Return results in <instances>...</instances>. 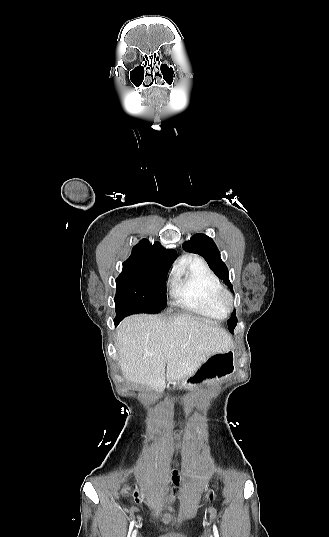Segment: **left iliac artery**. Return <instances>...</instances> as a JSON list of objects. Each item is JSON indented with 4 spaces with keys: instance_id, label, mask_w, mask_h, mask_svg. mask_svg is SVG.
<instances>
[{
    "instance_id": "left-iliac-artery-1",
    "label": "left iliac artery",
    "mask_w": 329,
    "mask_h": 537,
    "mask_svg": "<svg viewBox=\"0 0 329 537\" xmlns=\"http://www.w3.org/2000/svg\"><path fill=\"white\" fill-rule=\"evenodd\" d=\"M213 533H214V537H219V533L215 524L213 525Z\"/></svg>"
}]
</instances>
